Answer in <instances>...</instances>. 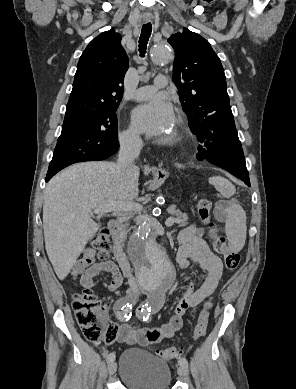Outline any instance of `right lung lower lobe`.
Returning a JSON list of instances; mask_svg holds the SVG:
<instances>
[{"mask_svg": "<svg viewBox=\"0 0 296 389\" xmlns=\"http://www.w3.org/2000/svg\"><path fill=\"white\" fill-rule=\"evenodd\" d=\"M119 148V147H118ZM118 148L116 149V150H114V151H111V152H109L108 154H107V158L109 157V156H111L112 154H114L117 150H118ZM61 169H63V168H49L48 169V172H47V175H46V179H45V181L47 182V181H49L57 172H59Z\"/></svg>", "mask_w": 296, "mask_h": 389, "instance_id": "obj_1", "label": "right lung lower lobe"}]
</instances>
